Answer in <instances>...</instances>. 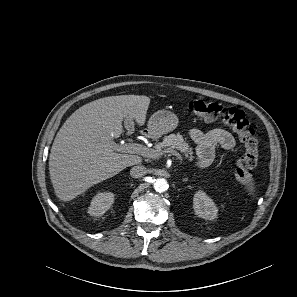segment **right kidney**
I'll list each match as a JSON object with an SVG mask.
<instances>
[{"label": "right kidney", "instance_id": "obj_1", "mask_svg": "<svg viewBox=\"0 0 297 297\" xmlns=\"http://www.w3.org/2000/svg\"><path fill=\"white\" fill-rule=\"evenodd\" d=\"M114 194L111 192L98 193L92 199L88 213L91 216H101L103 215L113 204Z\"/></svg>", "mask_w": 297, "mask_h": 297}]
</instances>
